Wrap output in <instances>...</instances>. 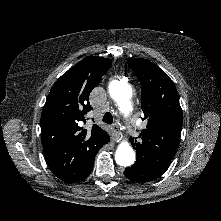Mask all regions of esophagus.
<instances>
[{
    "label": "esophagus",
    "instance_id": "1",
    "mask_svg": "<svg viewBox=\"0 0 221 221\" xmlns=\"http://www.w3.org/2000/svg\"><path fill=\"white\" fill-rule=\"evenodd\" d=\"M112 130V142L113 144L119 142L120 140V130H119V125L118 124H114L111 128Z\"/></svg>",
    "mask_w": 221,
    "mask_h": 221
}]
</instances>
